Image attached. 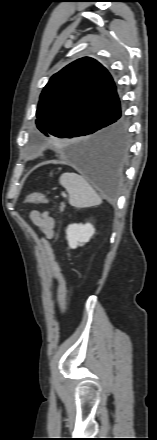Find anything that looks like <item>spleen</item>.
Returning <instances> with one entry per match:
<instances>
[{
  "label": "spleen",
  "mask_w": 157,
  "mask_h": 440,
  "mask_svg": "<svg viewBox=\"0 0 157 440\" xmlns=\"http://www.w3.org/2000/svg\"><path fill=\"white\" fill-rule=\"evenodd\" d=\"M60 184L69 195V204L76 208H87L102 203L100 196L88 182L76 173H64L59 178Z\"/></svg>",
  "instance_id": "spleen-1"
}]
</instances>
